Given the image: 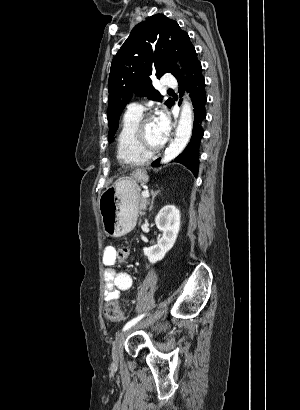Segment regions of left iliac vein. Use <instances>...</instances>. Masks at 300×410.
<instances>
[{"label":"left iliac vein","instance_id":"4c4485c4","mask_svg":"<svg viewBox=\"0 0 300 410\" xmlns=\"http://www.w3.org/2000/svg\"><path fill=\"white\" fill-rule=\"evenodd\" d=\"M166 311V309H162L158 312H156L153 316H151L149 319L142 321L136 325H133L132 327H130L129 329L121 332L115 339V341L113 342V347H112V359L115 363H117L120 359V353H121V348L125 342V339L127 338V336L134 330L145 326L147 323H150L152 321H154L155 319L159 318L164 312Z\"/></svg>","mask_w":300,"mask_h":410}]
</instances>
